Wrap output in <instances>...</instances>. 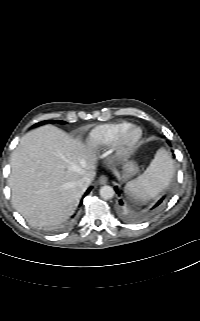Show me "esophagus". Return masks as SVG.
Wrapping results in <instances>:
<instances>
[{"label":"esophagus","mask_w":200,"mask_h":321,"mask_svg":"<svg viewBox=\"0 0 200 321\" xmlns=\"http://www.w3.org/2000/svg\"><path fill=\"white\" fill-rule=\"evenodd\" d=\"M107 181H108V177H107L106 175H101V176L99 177V180H98L99 184H101V185L106 184Z\"/></svg>","instance_id":"34e87169"}]
</instances>
